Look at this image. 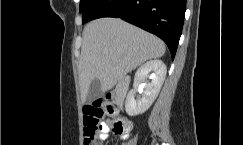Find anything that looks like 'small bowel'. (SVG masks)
Here are the masks:
<instances>
[{"instance_id": "obj_1", "label": "small bowel", "mask_w": 243, "mask_h": 145, "mask_svg": "<svg viewBox=\"0 0 243 145\" xmlns=\"http://www.w3.org/2000/svg\"><path fill=\"white\" fill-rule=\"evenodd\" d=\"M111 124H112V121H110V120H105V121L102 122V127H101L100 134H99V139L101 141H104L108 138L109 132L111 130ZM128 124H129V128L124 133L120 134V136L123 139H127L129 137V131L131 129V123L128 121Z\"/></svg>"}]
</instances>
